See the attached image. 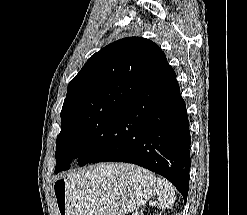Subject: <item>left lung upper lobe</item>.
Returning <instances> with one entry per match:
<instances>
[{
	"label": "left lung upper lobe",
	"mask_w": 247,
	"mask_h": 215,
	"mask_svg": "<svg viewBox=\"0 0 247 215\" xmlns=\"http://www.w3.org/2000/svg\"><path fill=\"white\" fill-rule=\"evenodd\" d=\"M166 58L152 41L128 37L96 52L70 81L61 111V132L56 140V172L83 150L94 154L106 134Z\"/></svg>",
	"instance_id": "left-lung-upper-lobe-1"
}]
</instances>
